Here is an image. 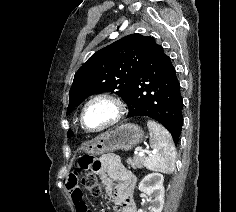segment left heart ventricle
Segmentation results:
<instances>
[{
    "label": "left heart ventricle",
    "mask_w": 236,
    "mask_h": 212,
    "mask_svg": "<svg viewBox=\"0 0 236 212\" xmlns=\"http://www.w3.org/2000/svg\"><path fill=\"white\" fill-rule=\"evenodd\" d=\"M112 115V106L107 102L98 101L87 108L84 115V122L87 127L95 129L106 123Z\"/></svg>",
    "instance_id": "1"
}]
</instances>
